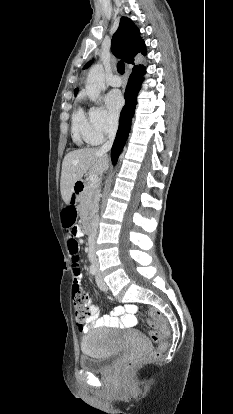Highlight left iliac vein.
Wrapping results in <instances>:
<instances>
[{
  "instance_id": "obj_1",
  "label": "left iliac vein",
  "mask_w": 233,
  "mask_h": 414,
  "mask_svg": "<svg viewBox=\"0 0 233 414\" xmlns=\"http://www.w3.org/2000/svg\"><path fill=\"white\" fill-rule=\"evenodd\" d=\"M96 269H97L96 282H97L98 287L103 291L108 290V286L106 282L104 281L100 271L98 270V268Z\"/></svg>"
}]
</instances>
